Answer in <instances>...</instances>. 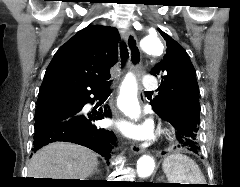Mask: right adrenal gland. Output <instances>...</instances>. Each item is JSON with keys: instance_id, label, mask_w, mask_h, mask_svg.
<instances>
[{"instance_id": "2a0ac1e0", "label": "right adrenal gland", "mask_w": 240, "mask_h": 187, "mask_svg": "<svg viewBox=\"0 0 240 187\" xmlns=\"http://www.w3.org/2000/svg\"><path fill=\"white\" fill-rule=\"evenodd\" d=\"M95 173L99 174L100 170L96 168L95 171L93 172V174H95Z\"/></svg>"}]
</instances>
